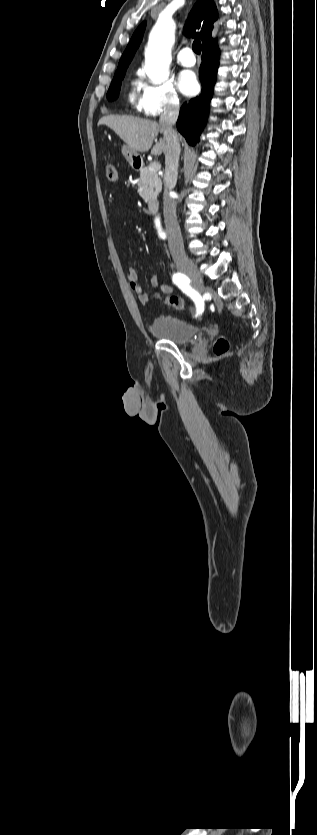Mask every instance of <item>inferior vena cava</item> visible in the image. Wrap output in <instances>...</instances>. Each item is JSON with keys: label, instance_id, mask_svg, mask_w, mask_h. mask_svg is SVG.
Segmentation results:
<instances>
[{"label": "inferior vena cava", "instance_id": "1", "mask_svg": "<svg viewBox=\"0 0 317 835\" xmlns=\"http://www.w3.org/2000/svg\"><path fill=\"white\" fill-rule=\"evenodd\" d=\"M180 105L177 102L169 103L160 116L159 124L164 132L166 142L165 148V176L163 193V214L168 244L171 255L174 259L182 258L185 255L183 239L180 226L176 216V203L170 196V192L177 182L180 143L173 125L179 116Z\"/></svg>", "mask_w": 317, "mask_h": 835}]
</instances>
